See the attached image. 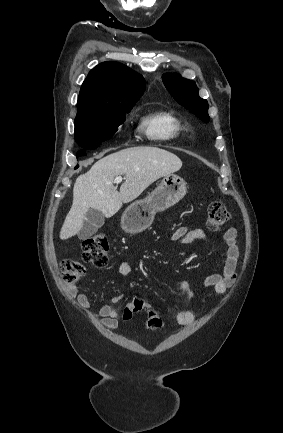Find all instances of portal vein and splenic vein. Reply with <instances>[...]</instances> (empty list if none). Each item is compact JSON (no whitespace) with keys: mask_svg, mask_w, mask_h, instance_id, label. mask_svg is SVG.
Returning <instances> with one entry per match:
<instances>
[{"mask_svg":"<svg viewBox=\"0 0 283 433\" xmlns=\"http://www.w3.org/2000/svg\"><path fill=\"white\" fill-rule=\"evenodd\" d=\"M123 180V176H116V178H114L113 182H122Z\"/></svg>","mask_w":283,"mask_h":433,"instance_id":"portal-vein-and-splenic-vein-1","label":"portal vein and splenic vein"}]
</instances>
